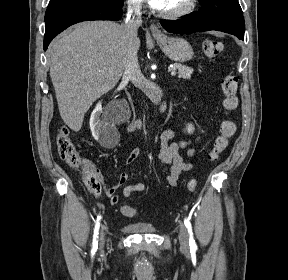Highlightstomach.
Returning a JSON list of instances; mask_svg holds the SVG:
<instances>
[{"label":"stomach","instance_id":"0dacf381","mask_svg":"<svg viewBox=\"0 0 288 280\" xmlns=\"http://www.w3.org/2000/svg\"><path fill=\"white\" fill-rule=\"evenodd\" d=\"M155 39L165 55L171 60L183 63L189 61L194 55L192 46L183 38L161 35L156 36Z\"/></svg>","mask_w":288,"mask_h":280}]
</instances>
